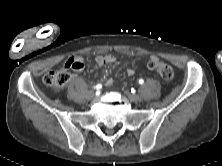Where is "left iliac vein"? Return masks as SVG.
Segmentation results:
<instances>
[{"instance_id":"obj_1","label":"left iliac vein","mask_w":222,"mask_h":166,"mask_svg":"<svg viewBox=\"0 0 222 166\" xmlns=\"http://www.w3.org/2000/svg\"><path fill=\"white\" fill-rule=\"evenodd\" d=\"M125 95L128 97V99L131 102H138L139 101V96L133 93H130L129 91H125Z\"/></svg>"}]
</instances>
